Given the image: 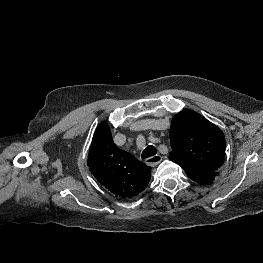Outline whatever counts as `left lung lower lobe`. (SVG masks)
I'll return each instance as SVG.
<instances>
[{
    "instance_id": "1",
    "label": "left lung lower lobe",
    "mask_w": 263,
    "mask_h": 263,
    "mask_svg": "<svg viewBox=\"0 0 263 263\" xmlns=\"http://www.w3.org/2000/svg\"><path fill=\"white\" fill-rule=\"evenodd\" d=\"M190 178L200 184H209L214 180L215 177L212 176H190Z\"/></svg>"
}]
</instances>
